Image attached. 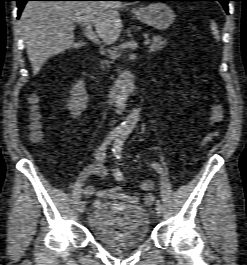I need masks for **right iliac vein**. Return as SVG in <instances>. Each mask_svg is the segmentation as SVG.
<instances>
[{"instance_id":"63e3f726","label":"right iliac vein","mask_w":247,"mask_h":265,"mask_svg":"<svg viewBox=\"0 0 247 265\" xmlns=\"http://www.w3.org/2000/svg\"><path fill=\"white\" fill-rule=\"evenodd\" d=\"M85 210H86L85 202H81V203L79 204L78 211H79L80 214H82V213L85 212Z\"/></svg>"}]
</instances>
